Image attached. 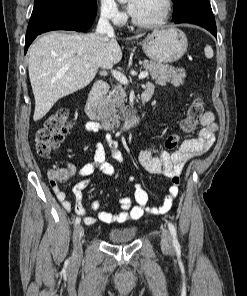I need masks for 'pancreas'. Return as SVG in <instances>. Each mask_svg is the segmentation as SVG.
Returning a JSON list of instances; mask_svg holds the SVG:
<instances>
[{
  "mask_svg": "<svg viewBox=\"0 0 247 296\" xmlns=\"http://www.w3.org/2000/svg\"><path fill=\"white\" fill-rule=\"evenodd\" d=\"M141 64L156 83L166 84L170 82L173 85L184 83L186 73L183 68H174L149 60H144ZM126 101L127 94L125 88L122 84H117L100 102L103 117L114 125L119 124L121 119L128 116V108L125 106Z\"/></svg>",
  "mask_w": 247,
  "mask_h": 296,
  "instance_id": "cf45deb5",
  "label": "pancreas"
}]
</instances>
